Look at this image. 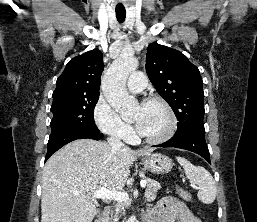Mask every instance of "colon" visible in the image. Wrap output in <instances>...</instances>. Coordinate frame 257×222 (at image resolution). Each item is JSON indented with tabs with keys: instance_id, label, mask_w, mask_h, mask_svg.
Wrapping results in <instances>:
<instances>
[{
	"instance_id": "colon-1",
	"label": "colon",
	"mask_w": 257,
	"mask_h": 222,
	"mask_svg": "<svg viewBox=\"0 0 257 222\" xmlns=\"http://www.w3.org/2000/svg\"><path fill=\"white\" fill-rule=\"evenodd\" d=\"M178 192H179V195H180L183 199H185V200H191V195H190V193H189L187 190H185L184 188H179V189H178Z\"/></svg>"
}]
</instances>
